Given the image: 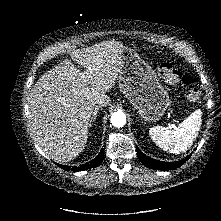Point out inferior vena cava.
<instances>
[{"instance_id":"obj_1","label":"inferior vena cava","mask_w":221,"mask_h":221,"mask_svg":"<svg viewBox=\"0 0 221 221\" xmlns=\"http://www.w3.org/2000/svg\"><path fill=\"white\" fill-rule=\"evenodd\" d=\"M110 102V99L107 95H100V96H97L94 100V104H97L99 106H107Z\"/></svg>"}]
</instances>
